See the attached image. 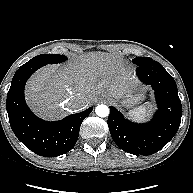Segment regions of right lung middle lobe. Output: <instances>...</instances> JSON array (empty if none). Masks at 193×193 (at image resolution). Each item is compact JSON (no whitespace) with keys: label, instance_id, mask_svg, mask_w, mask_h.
Masks as SVG:
<instances>
[{"label":"right lung middle lobe","instance_id":"obj_1","mask_svg":"<svg viewBox=\"0 0 193 193\" xmlns=\"http://www.w3.org/2000/svg\"><path fill=\"white\" fill-rule=\"evenodd\" d=\"M66 60V56L59 55V54H41L34 58H32L30 61H28L26 64H56L61 63Z\"/></svg>","mask_w":193,"mask_h":193}]
</instances>
